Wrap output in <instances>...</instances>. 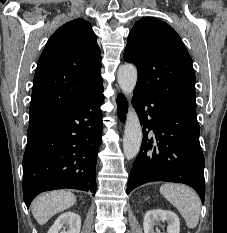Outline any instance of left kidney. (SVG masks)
<instances>
[{
  "label": "left kidney",
  "mask_w": 227,
  "mask_h": 233,
  "mask_svg": "<svg viewBox=\"0 0 227 233\" xmlns=\"http://www.w3.org/2000/svg\"><path fill=\"white\" fill-rule=\"evenodd\" d=\"M160 221H166L168 223L167 233H180L178 216L174 212L159 209L146 212L143 221L144 233H156L154 231V225Z\"/></svg>",
  "instance_id": "5707ae66"
}]
</instances>
